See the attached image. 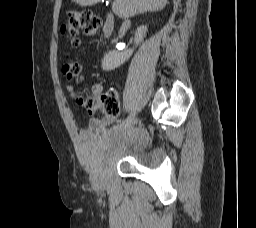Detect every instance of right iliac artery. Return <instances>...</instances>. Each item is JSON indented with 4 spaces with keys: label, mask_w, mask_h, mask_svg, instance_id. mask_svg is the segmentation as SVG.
Segmentation results:
<instances>
[{
    "label": "right iliac artery",
    "mask_w": 256,
    "mask_h": 228,
    "mask_svg": "<svg viewBox=\"0 0 256 228\" xmlns=\"http://www.w3.org/2000/svg\"><path fill=\"white\" fill-rule=\"evenodd\" d=\"M133 116H134V113L133 112L130 113V115L125 120L122 121L120 126H124V125L126 126L132 120Z\"/></svg>",
    "instance_id": "1"
}]
</instances>
